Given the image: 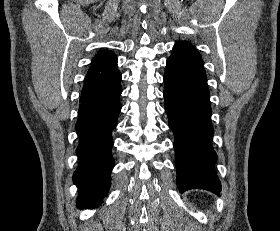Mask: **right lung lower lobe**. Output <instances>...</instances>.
Here are the masks:
<instances>
[{
	"instance_id": "obj_1",
	"label": "right lung lower lobe",
	"mask_w": 280,
	"mask_h": 231,
	"mask_svg": "<svg viewBox=\"0 0 280 231\" xmlns=\"http://www.w3.org/2000/svg\"><path fill=\"white\" fill-rule=\"evenodd\" d=\"M121 92L119 85L92 98L80 99L75 125L79 165L73 175L80 189L76 201L80 209L99 205L108 192L114 165L111 134L121 110Z\"/></svg>"
}]
</instances>
